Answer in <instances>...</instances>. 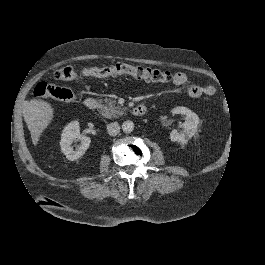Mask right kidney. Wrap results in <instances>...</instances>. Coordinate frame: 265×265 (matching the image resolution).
Wrapping results in <instances>:
<instances>
[{
	"instance_id": "right-kidney-1",
	"label": "right kidney",
	"mask_w": 265,
	"mask_h": 265,
	"mask_svg": "<svg viewBox=\"0 0 265 265\" xmlns=\"http://www.w3.org/2000/svg\"><path fill=\"white\" fill-rule=\"evenodd\" d=\"M76 139H79L81 144L74 150L71 144ZM90 142L91 139L89 137L80 134L79 122L71 121L63 129L60 141L61 151L66 155L68 160L74 161L85 154L86 150L89 148Z\"/></svg>"
}]
</instances>
